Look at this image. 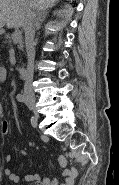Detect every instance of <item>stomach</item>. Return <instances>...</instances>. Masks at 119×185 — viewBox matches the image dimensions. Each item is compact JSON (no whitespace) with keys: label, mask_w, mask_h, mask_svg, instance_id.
Wrapping results in <instances>:
<instances>
[{"label":"stomach","mask_w":119,"mask_h":185,"mask_svg":"<svg viewBox=\"0 0 119 185\" xmlns=\"http://www.w3.org/2000/svg\"><path fill=\"white\" fill-rule=\"evenodd\" d=\"M3 33V29L2 28H0V35Z\"/></svg>","instance_id":"1"}]
</instances>
